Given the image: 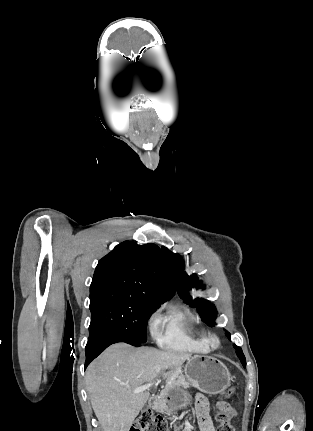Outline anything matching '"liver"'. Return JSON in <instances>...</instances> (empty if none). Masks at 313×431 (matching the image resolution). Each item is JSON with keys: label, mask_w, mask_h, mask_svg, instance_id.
<instances>
[{"label": "liver", "mask_w": 313, "mask_h": 431, "mask_svg": "<svg viewBox=\"0 0 313 431\" xmlns=\"http://www.w3.org/2000/svg\"><path fill=\"white\" fill-rule=\"evenodd\" d=\"M191 354L116 343L95 359L86 371V387L103 431H129L149 392L137 387L161 376L172 381L181 374Z\"/></svg>", "instance_id": "6515ba94"}]
</instances>
